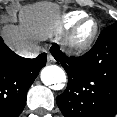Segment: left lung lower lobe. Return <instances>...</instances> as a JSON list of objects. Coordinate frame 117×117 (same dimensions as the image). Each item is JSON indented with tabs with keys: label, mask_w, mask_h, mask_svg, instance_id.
Returning a JSON list of instances; mask_svg holds the SVG:
<instances>
[{
	"label": "left lung lower lobe",
	"mask_w": 117,
	"mask_h": 117,
	"mask_svg": "<svg viewBox=\"0 0 117 117\" xmlns=\"http://www.w3.org/2000/svg\"><path fill=\"white\" fill-rule=\"evenodd\" d=\"M51 52L68 74V86L56 98L65 117L117 114V23L103 30L81 57H66L58 47Z\"/></svg>",
	"instance_id": "left-lung-lower-lobe-1"
}]
</instances>
